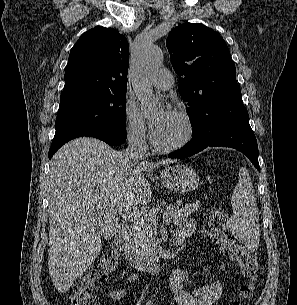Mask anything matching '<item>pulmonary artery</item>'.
<instances>
[{"instance_id":"pulmonary-artery-1","label":"pulmonary artery","mask_w":297,"mask_h":305,"mask_svg":"<svg viewBox=\"0 0 297 305\" xmlns=\"http://www.w3.org/2000/svg\"><path fill=\"white\" fill-rule=\"evenodd\" d=\"M174 83L172 73L165 68L159 69L152 79V85L162 91L169 90Z\"/></svg>"}]
</instances>
